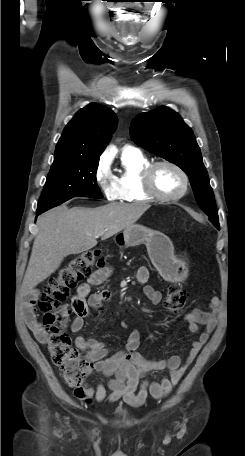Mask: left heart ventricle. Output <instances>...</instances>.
I'll list each match as a JSON object with an SVG mask.
<instances>
[{
  "instance_id": "b2bd125f",
  "label": "left heart ventricle",
  "mask_w": 245,
  "mask_h": 456,
  "mask_svg": "<svg viewBox=\"0 0 245 456\" xmlns=\"http://www.w3.org/2000/svg\"><path fill=\"white\" fill-rule=\"evenodd\" d=\"M154 184L159 193L163 195H176L183 188L180 174L173 168L162 165L154 173Z\"/></svg>"
}]
</instances>
